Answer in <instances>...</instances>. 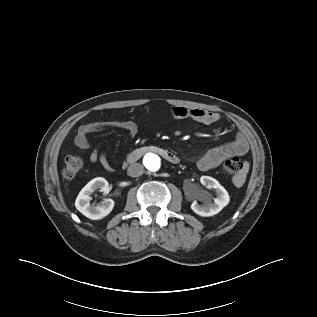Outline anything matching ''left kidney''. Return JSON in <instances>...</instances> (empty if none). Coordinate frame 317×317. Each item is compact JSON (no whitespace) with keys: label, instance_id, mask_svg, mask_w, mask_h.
I'll list each match as a JSON object with an SVG mask.
<instances>
[{"label":"left kidney","instance_id":"5707ae66","mask_svg":"<svg viewBox=\"0 0 317 317\" xmlns=\"http://www.w3.org/2000/svg\"><path fill=\"white\" fill-rule=\"evenodd\" d=\"M200 182L208 189H215L216 198H214V202H211V200L207 197V194L203 193L198 197V199L205 201V204L199 205L197 201L194 200L191 204V209L193 212L202 217H209L218 214L226 205H228L230 201L228 192L216 179L210 176H202L200 178Z\"/></svg>","mask_w":317,"mask_h":317}]
</instances>
